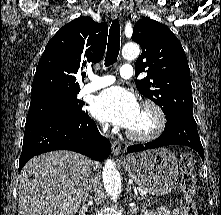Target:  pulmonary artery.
<instances>
[{"label": "pulmonary artery", "mask_w": 221, "mask_h": 215, "mask_svg": "<svg viewBox=\"0 0 221 215\" xmlns=\"http://www.w3.org/2000/svg\"><path fill=\"white\" fill-rule=\"evenodd\" d=\"M119 74L122 78L128 79L133 76L134 69L131 65L125 64L121 66ZM89 79H90V82L87 83L81 89V94H88V93L95 92L115 82V77L112 75L98 76V75L90 74Z\"/></svg>", "instance_id": "1"}]
</instances>
